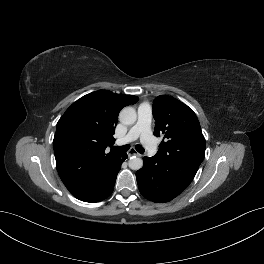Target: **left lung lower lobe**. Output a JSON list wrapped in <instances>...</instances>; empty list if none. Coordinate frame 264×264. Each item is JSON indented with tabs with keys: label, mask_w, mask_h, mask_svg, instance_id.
I'll return each mask as SVG.
<instances>
[{
	"label": "left lung lower lobe",
	"mask_w": 264,
	"mask_h": 264,
	"mask_svg": "<svg viewBox=\"0 0 264 264\" xmlns=\"http://www.w3.org/2000/svg\"><path fill=\"white\" fill-rule=\"evenodd\" d=\"M143 167L136 178L141 194L153 202H167L178 196L190 184L195 174L177 167H168L158 156L143 158Z\"/></svg>",
	"instance_id": "obj_1"
}]
</instances>
